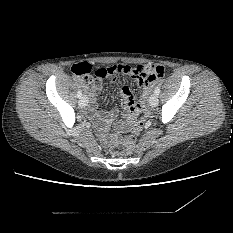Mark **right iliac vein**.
Listing matches in <instances>:
<instances>
[{"label":"right iliac vein","instance_id":"right-iliac-vein-1","mask_svg":"<svg viewBox=\"0 0 233 233\" xmlns=\"http://www.w3.org/2000/svg\"><path fill=\"white\" fill-rule=\"evenodd\" d=\"M87 103H88L87 96L84 95V96L80 97V99H79V105L81 107H86Z\"/></svg>","mask_w":233,"mask_h":233}]
</instances>
